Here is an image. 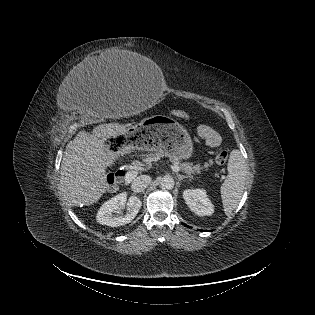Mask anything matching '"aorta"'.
I'll use <instances>...</instances> for the list:
<instances>
[{"label": "aorta", "instance_id": "aorta-1", "mask_svg": "<svg viewBox=\"0 0 315 315\" xmlns=\"http://www.w3.org/2000/svg\"><path fill=\"white\" fill-rule=\"evenodd\" d=\"M174 184V179L171 176H164L160 182L161 187L166 190L173 189Z\"/></svg>", "mask_w": 315, "mask_h": 315}]
</instances>
